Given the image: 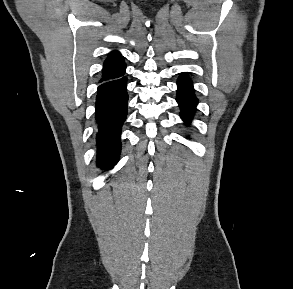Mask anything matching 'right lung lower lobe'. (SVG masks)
<instances>
[{
	"instance_id": "98d812e1",
	"label": "right lung lower lobe",
	"mask_w": 293,
	"mask_h": 289,
	"mask_svg": "<svg viewBox=\"0 0 293 289\" xmlns=\"http://www.w3.org/2000/svg\"><path fill=\"white\" fill-rule=\"evenodd\" d=\"M126 77L102 83L96 96L97 163L111 169L119 159L121 130L127 115Z\"/></svg>"
}]
</instances>
